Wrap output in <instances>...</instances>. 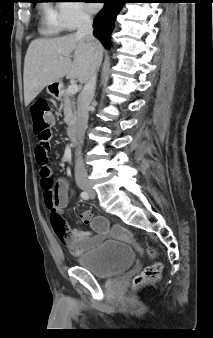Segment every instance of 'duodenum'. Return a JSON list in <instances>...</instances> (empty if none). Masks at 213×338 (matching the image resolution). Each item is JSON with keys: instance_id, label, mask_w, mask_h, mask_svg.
<instances>
[{"instance_id": "duodenum-1", "label": "duodenum", "mask_w": 213, "mask_h": 338, "mask_svg": "<svg viewBox=\"0 0 213 338\" xmlns=\"http://www.w3.org/2000/svg\"><path fill=\"white\" fill-rule=\"evenodd\" d=\"M76 129H77L76 123L71 124V126H70V134L73 137L76 135Z\"/></svg>"}]
</instances>
